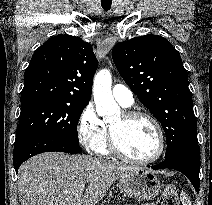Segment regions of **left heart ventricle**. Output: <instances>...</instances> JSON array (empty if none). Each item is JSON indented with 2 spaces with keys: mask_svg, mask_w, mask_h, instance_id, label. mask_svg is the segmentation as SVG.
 Listing matches in <instances>:
<instances>
[{
  "mask_svg": "<svg viewBox=\"0 0 212 205\" xmlns=\"http://www.w3.org/2000/svg\"><path fill=\"white\" fill-rule=\"evenodd\" d=\"M122 150L133 158H146L157 149V136L152 124L145 118L123 121L121 114L111 120Z\"/></svg>",
  "mask_w": 212,
  "mask_h": 205,
  "instance_id": "b2bd125f",
  "label": "left heart ventricle"
}]
</instances>
